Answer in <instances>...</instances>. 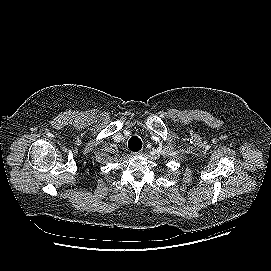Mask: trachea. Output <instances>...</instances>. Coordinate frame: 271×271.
Listing matches in <instances>:
<instances>
[{"label": "trachea", "mask_w": 271, "mask_h": 271, "mask_svg": "<svg viewBox=\"0 0 271 271\" xmlns=\"http://www.w3.org/2000/svg\"><path fill=\"white\" fill-rule=\"evenodd\" d=\"M128 148L133 152H137V151L141 150V148H142L141 139L137 136L131 137L128 141Z\"/></svg>", "instance_id": "1"}]
</instances>
